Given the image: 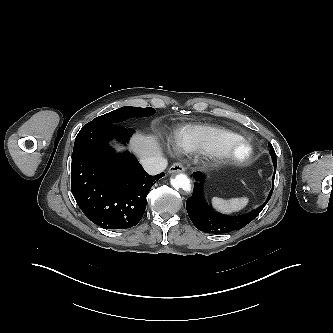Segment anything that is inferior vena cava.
<instances>
[{
  "mask_svg": "<svg viewBox=\"0 0 333 333\" xmlns=\"http://www.w3.org/2000/svg\"><path fill=\"white\" fill-rule=\"evenodd\" d=\"M140 163L145 171L151 175L163 172L168 165L167 159L162 156L143 157L140 159Z\"/></svg>",
  "mask_w": 333,
  "mask_h": 333,
  "instance_id": "obj_1",
  "label": "inferior vena cava"
}]
</instances>
